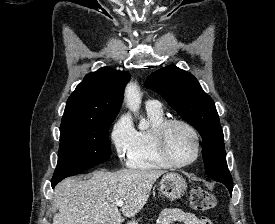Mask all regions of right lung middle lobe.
Listing matches in <instances>:
<instances>
[{"instance_id": "1", "label": "right lung middle lobe", "mask_w": 275, "mask_h": 224, "mask_svg": "<svg viewBox=\"0 0 275 224\" xmlns=\"http://www.w3.org/2000/svg\"><path fill=\"white\" fill-rule=\"evenodd\" d=\"M114 119L61 123L58 164L52 181L107 161L111 155L108 133Z\"/></svg>"}]
</instances>
